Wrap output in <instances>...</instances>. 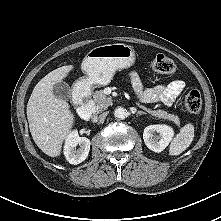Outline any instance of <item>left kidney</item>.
I'll list each match as a JSON object with an SVG mask.
<instances>
[{
	"mask_svg": "<svg viewBox=\"0 0 221 221\" xmlns=\"http://www.w3.org/2000/svg\"><path fill=\"white\" fill-rule=\"evenodd\" d=\"M158 133V135H156ZM174 131L167 125H150L144 129L143 139L145 145L154 152L163 151L171 142Z\"/></svg>",
	"mask_w": 221,
	"mask_h": 221,
	"instance_id": "5707ae66",
	"label": "left kidney"
}]
</instances>
